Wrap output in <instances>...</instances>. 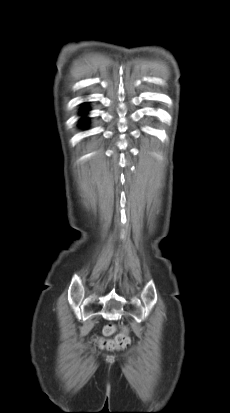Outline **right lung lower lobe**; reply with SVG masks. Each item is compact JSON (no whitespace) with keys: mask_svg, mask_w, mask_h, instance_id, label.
<instances>
[{"mask_svg":"<svg viewBox=\"0 0 230 413\" xmlns=\"http://www.w3.org/2000/svg\"><path fill=\"white\" fill-rule=\"evenodd\" d=\"M87 112V107H84L83 109H82V111H81V113L82 114H84V113H86ZM87 118H82L81 120H80V122H81V124L82 125H85L86 123H87Z\"/></svg>","mask_w":230,"mask_h":413,"instance_id":"obj_1","label":"right lung lower lobe"}]
</instances>
